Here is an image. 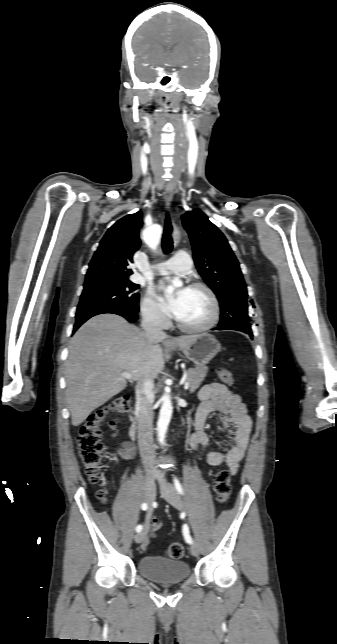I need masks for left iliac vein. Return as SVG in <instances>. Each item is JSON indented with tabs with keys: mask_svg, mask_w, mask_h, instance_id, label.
I'll return each mask as SVG.
<instances>
[{
	"mask_svg": "<svg viewBox=\"0 0 337 644\" xmlns=\"http://www.w3.org/2000/svg\"><path fill=\"white\" fill-rule=\"evenodd\" d=\"M161 494L164 499L177 509H183L184 504L182 498L179 496L175 488L170 484H161ZM190 552L193 556L199 555V546L193 543L190 547Z\"/></svg>",
	"mask_w": 337,
	"mask_h": 644,
	"instance_id": "1",
	"label": "left iliac vein"
}]
</instances>
